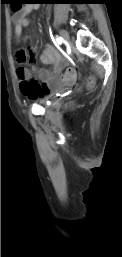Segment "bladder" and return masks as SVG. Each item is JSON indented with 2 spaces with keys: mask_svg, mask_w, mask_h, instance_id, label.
I'll list each match as a JSON object with an SVG mask.
<instances>
[{
  "mask_svg": "<svg viewBox=\"0 0 122 257\" xmlns=\"http://www.w3.org/2000/svg\"><path fill=\"white\" fill-rule=\"evenodd\" d=\"M38 103L41 104V105H45V100L41 99V100L38 101Z\"/></svg>",
  "mask_w": 122,
  "mask_h": 257,
  "instance_id": "31cf9c89",
  "label": "bladder"
}]
</instances>
